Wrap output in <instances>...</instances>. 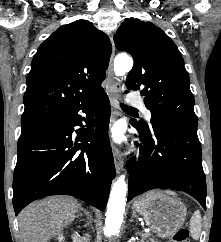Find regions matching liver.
I'll return each mask as SVG.
<instances>
[{
  "label": "liver",
  "mask_w": 221,
  "mask_h": 242,
  "mask_svg": "<svg viewBox=\"0 0 221 242\" xmlns=\"http://www.w3.org/2000/svg\"><path fill=\"white\" fill-rule=\"evenodd\" d=\"M80 204L70 197H51L28 205L19 214L23 242H47L69 225Z\"/></svg>",
  "instance_id": "obj_1"
}]
</instances>
